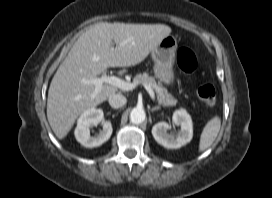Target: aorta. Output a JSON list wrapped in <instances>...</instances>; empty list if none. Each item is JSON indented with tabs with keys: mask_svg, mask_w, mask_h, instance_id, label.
Returning a JSON list of instances; mask_svg holds the SVG:
<instances>
[{
	"mask_svg": "<svg viewBox=\"0 0 272 198\" xmlns=\"http://www.w3.org/2000/svg\"><path fill=\"white\" fill-rule=\"evenodd\" d=\"M146 114L143 108L136 107L133 108L130 112V121L133 124H141L145 121Z\"/></svg>",
	"mask_w": 272,
	"mask_h": 198,
	"instance_id": "aorta-1",
	"label": "aorta"
}]
</instances>
